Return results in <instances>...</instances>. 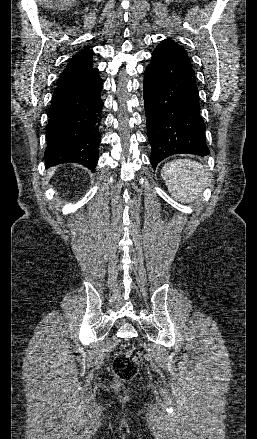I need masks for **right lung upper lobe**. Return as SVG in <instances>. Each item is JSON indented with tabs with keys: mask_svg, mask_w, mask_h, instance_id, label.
<instances>
[{
	"mask_svg": "<svg viewBox=\"0 0 257 439\" xmlns=\"http://www.w3.org/2000/svg\"><path fill=\"white\" fill-rule=\"evenodd\" d=\"M92 55L93 51L89 48H85L74 55L61 73L57 84L71 81L92 70Z\"/></svg>",
	"mask_w": 257,
	"mask_h": 439,
	"instance_id": "1",
	"label": "right lung upper lobe"
}]
</instances>
